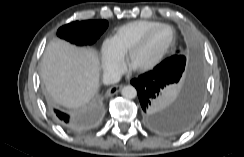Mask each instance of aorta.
<instances>
[{
    "label": "aorta",
    "instance_id": "obj_1",
    "mask_svg": "<svg viewBox=\"0 0 244 157\" xmlns=\"http://www.w3.org/2000/svg\"><path fill=\"white\" fill-rule=\"evenodd\" d=\"M121 94L122 96H124L125 98H128V99H133L136 97L137 95V91L136 89L131 86V85H127V86H124L121 90Z\"/></svg>",
    "mask_w": 244,
    "mask_h": 157
}]
</instances>
